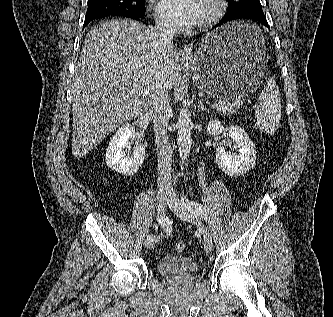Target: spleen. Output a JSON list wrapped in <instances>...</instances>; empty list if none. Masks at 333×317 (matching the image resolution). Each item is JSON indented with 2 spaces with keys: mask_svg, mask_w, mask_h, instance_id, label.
Returning <instances> with one entry per match:
<instances>
[{
  "mask_svg": "<svg viewBox=\"0 0 333 317\" xmlns=\"http://www.w3.org/2000/svg\"><path fill=\"white\" fill-rule=\"evenodd\" d=\"M256 32H261L259 27L254 26ZM261 108L255 112L256 124L261 130L273 134L281 120V99L276 81L269 78L262 93L259 95Z\"/></svg>",
  "mask_w": 333,
  "mask_h": 317,
  "instance_id": "3e777b00",
  "label": "spleen"
}]
</instances>
